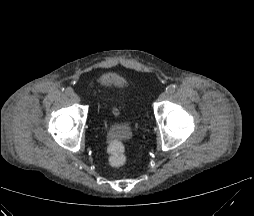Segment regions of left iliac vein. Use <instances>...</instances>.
<instances>
[{
	"mask_svg": "<svg viewBox=\"0 0 254 216\" xmlns=\"http://www.w3.org/2000/svg\"><path fill=\"white\" fill-rule=\"evenodd\" d=\"M168 93L167 92H163L162 94H160V96L158 97V101H163L166 100L168 98Z\"/></svg>",
	"mask_w": 254,
	"mask_h": 216,
	"instance_id": "left-iliac-vein-1",
	"label": "left iliac vein"
}]
</instances>
